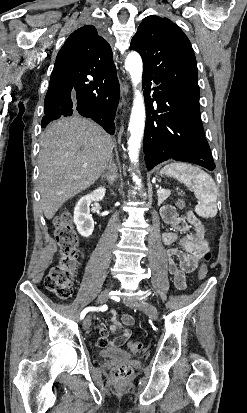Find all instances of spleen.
Listing matches in <instances>:
<instances>
[{
	"mask_svg": "<svg viewBox=\"0 0 247 413\" xmlns=\"http://www.w3.org/2000/svg\"><path fill=\"white\" fill-rule=\"evenodd\" d=\"M161 174H168V176H175L180 182H184L186 186H190L196 198L200 200L197 204L196 211H204V217H215L217 213V188L216 184L205 170L187 164V162H171L166 164Z\"/></svg>",
	"mask_w": 247,
	"mask_h": 413,
	"instance_id": "spleen-1",
	"label": "spleen"
}]
</instances>
